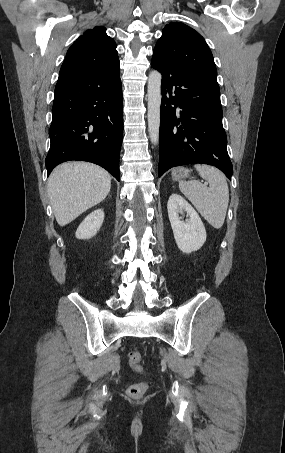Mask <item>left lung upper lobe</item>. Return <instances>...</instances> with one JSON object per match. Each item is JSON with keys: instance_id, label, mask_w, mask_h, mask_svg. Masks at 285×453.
Listing matches in <instances>:
<instances>
[{"instance_id": "obj_1", "label": "left lung upper lobe", "mask_w": 285, "mask_h": 453, "mask_svg": "<svg viewBox=\"0 0 285 453\" xmlns=\"http://www.w3.org/2000/svg\"><path fill=\"white\" fill-rule=\"evenodd\" d=\"M153 54L171 66L202 76L219 88L213 55L204 38L191 27L178 22L166 25Z\"/></svg>"}]
</instances>
